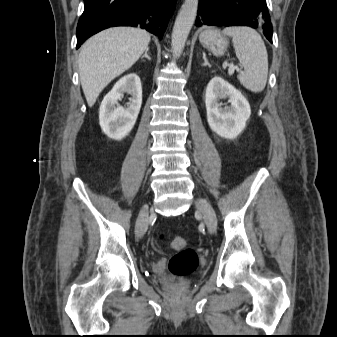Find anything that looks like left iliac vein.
<instances>
[{"label":"left iliac vein","instance_id":"1","mask_svg":"<svg viewBox=\"0 0 337 337\" xmlns=\"http://www.w3.org/2000/svg\"><path fill=\"white\" fill-rule=\"evenodd\" d=\"M196 209L203 214L208 231L214 233L217 228V217L212 206L204 199H197Z\"/></svg>","mask_w":337,"mask_h":337}]
</instances>
